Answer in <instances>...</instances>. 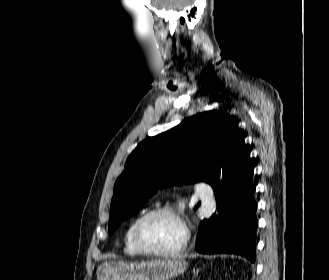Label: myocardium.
<instances>
[{
  "label": "myocardium",
  "instance_id": "myocardium-1",
  "mask_svg": "<svg viewBox=\"0 0 329 280\" xmlns=\"http://www.w3.org/2000/svg\"><path fill=\"white\" fill-rule=\"evenodd\" d=\"M160 214H167V215H171L172 217H174L178 221V223L182 229V239H181L180 243L176 247L168 249V250L152 249V248L146 246L141 239V230H142V227L144 226V224L150 218H152L156 215H160ZM132 240H133V243H134L135 247L137 248V250L142 254H145L148 256H153V257H169V256H174V255L181 253L186 248L188 240H189V232L181 217L180 212L177 209H175L174 207H171V206H158V207H155V208L145 212L138 218V220L136 221V223L134 224L133 229H132Z\"/></svg>",
  "mask_w": 329,
  "mask_h": 280
}]
</instances>
